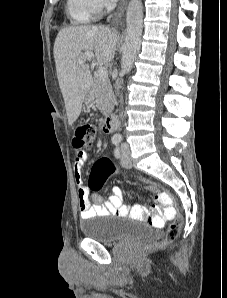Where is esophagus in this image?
Masks as SVG:
<instances>
[{"label": "esophagus", "mask_w": 227, "mask_h": 298, "mask_svg": "<svg viewBox=\"0 0 227 298\" xmlns=\"http://www.w3.org/2000/svg\"><path fill=\"white\" fill-rule=\"evenodd\" d=\"M127 0H122L117 11L115 12V14L112 17V25L115 27H118L121 24V18L123 15V11H124V7L126 4Z\"/></svg>", "instance_id": "obj_1"}]
</instances>
